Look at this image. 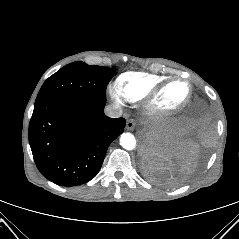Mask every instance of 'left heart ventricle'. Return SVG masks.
Instances as JSON below:
<instances>
[{
  "instance_id": "b2bd125f",
  "label": "left heart ventricle",
  "mask_w": 239,
  "mask_h": 239,
  "mask_svg": "<svg viewBox=\"0 0 239 239\" xmlns=\"http://www.w3.org/2000/svg\"><path fill=\"white\" fill-rule=\"evenodd\" d=\"M187 87L183 83L171 85L161 96L160 104L163 107L171 108L178 105L186 96Z\"/></svg>"
}]
</instances>
